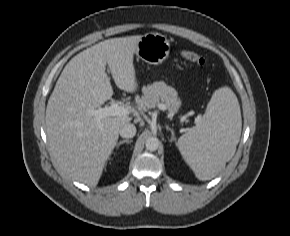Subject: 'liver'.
Returning <instances> with one entry per match:
<instances>
[{
  "mask_svg": "<svg viewBox=\"0 0 290 236\" xmlns=\"http://www.w3.org/2000/svg\"><path fill=\"white\" fill-rule=\"evenodd\" d=\"M141 35L112 38L74 56L63 69L47 103L46 133L59 168L73 179L95 187L117 144L119 130L131 117L97 122L88 114L111 99L109 66L121 90H137L134 53Z\"/></svg>",
  "mask_w": 290,
  "mask_h": 236,
  "instance_id": "1",
  "label": "liver"
}]
</instances>
